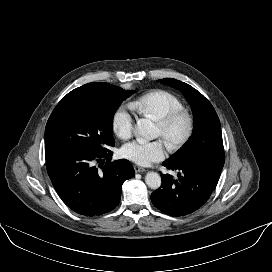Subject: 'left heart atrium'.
Segmentation results:
<instances>
[{
  "instance_id": "39dd6f15",
  "label": "left heart atrium",
  "mask_w": 272,
  "mask_h": 272,
  "mask_svg": "<svg viewBox=\"0 0 272 272\" xmlns=\"http://www.w3.org/2000/svg\"><path fill=\"white\" fill-rule=\"evenodd\" d=\"M121 153L124 158L136 164L146 166L164 159L166 148L161 140L152 142L139 140L125 144L121 149Z\"/></svg>"
}]
</instances>
